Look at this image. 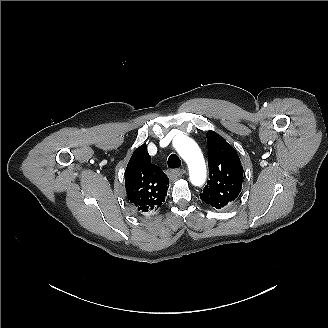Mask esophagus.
<instances>
[{
    "instance_id": "34e87169",
    "label": "esophagus",
    "mask_w": 328,
    "mask_h": 328,
    "mask_svg": "<svg viewBox=\"0 0 328 328\" xmlns=\"http://www.w3.org/2000/svg\"><path fill=\"white\" fill-rule=\"evenodd\" d=\"M183 170L181 169H168L166 170V174L168 175V177L170 178H177L183 175Z\"/></svg>"
}]
</instances>
